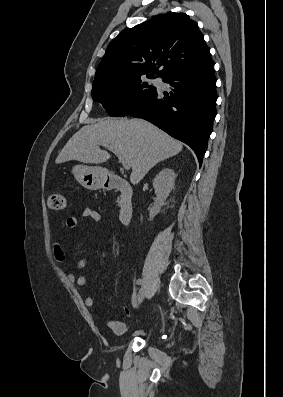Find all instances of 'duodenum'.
<instances>
[{"label":"duodenum","mask_w":283,"mask_h":397,"mask_svg":"<svg viewBox=\"0 0 283 397\" xmlns=\"http://www.w3.org/2000/svg\"><path fill=\"white\" fill-rule=\"evenodd\" d=\"M105 187L120 193L119 220L122 224H129L134 212L131 186L120 176L111 175L106 179Z\"/></svg>","instance_id":"410a0bca"}]
</instances>
